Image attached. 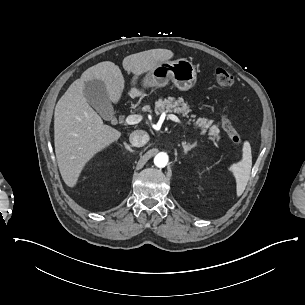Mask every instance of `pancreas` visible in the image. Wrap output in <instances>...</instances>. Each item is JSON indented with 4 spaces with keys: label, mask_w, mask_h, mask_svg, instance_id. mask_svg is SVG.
<instances>
[{
    "label": "pancreas",
    "mask_w": 305,
    "mask_h": 305,
    "mask_svg": "<svg viewBox=\"0 0 305 305\" xmlns=\"http://www.w3.org/2000/svg\"><path fill=\"white\" fill-rule=\"evenodd\" d=\"M156 108L159 112L167 111L169 113H180L183 117H189V113L192 111L184 99L179 97L174 100L172 97L166 99H159L156 102ZM189 124L193 122V129L199 128L201 134L204 135L208 133V140L212 142H219L221 140L220 129L218 124H212L213 120H208L207 118H199L195 120L196 115H190Z\"/></svg>",
    "instance_id": "1"
}]
</instances>
